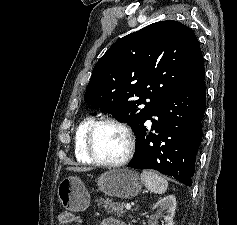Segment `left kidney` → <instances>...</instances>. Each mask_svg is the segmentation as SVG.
Segmentation results:
<instances>
[{"mask_svg": "<svg viewBox=\"0 0 237 225\" xmlns=\"http://www.w3.org/2000/svg\"><path fill=\"white\" fill-rule=\"evenodd\" d=\"M159 208L160 212L167 210V215L164 217L165 225H173V217L176 209V198L173 195L166 196L159 200L154 209Z\"/></svg>", "mask_w": 237, "mask_h": 225, "instance_id": "obj_1", "label": "left kidney"}]
</instances>
